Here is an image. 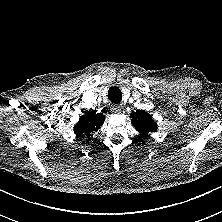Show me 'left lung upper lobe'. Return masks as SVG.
Listing matches in <instances>:
<instances>
[{"mask_svg": "<svg viewBox=\"0 0 222 222\" xmlns=\"http://www.w3.org/2000/svg\"><path fill=\"white\" fill-rule=\"evenodd\" d=\"M131 118L132 125L143 138L157 130V124L154 122L152 116L145 111L132 112Z\"/></svg>", "mask_w": 222, "mask_h": 222, "instance_id": "1", "label": "left lung upper lobe"}]
</instances>
